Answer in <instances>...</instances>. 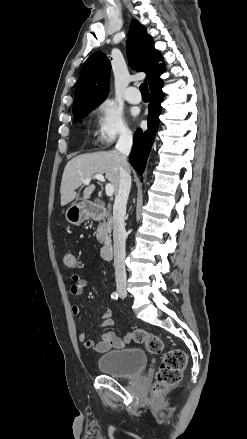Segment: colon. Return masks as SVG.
Returning a JSON list of instances; mask_svg holds the SVG:
<instances>
[{
  "mask_svg": "<svg viewBox=\"0 0 247 439\" xmlns=\"http://www.w3.org/2000/svg\"><path fill=\"white\" fill-rule=\"evenodd\" d=\"M63 261L68 268H77L80 265L76 256L71 253L66 254ZM133 337L137 343L143 344L147 351L152 354H159L163 349L162 339L144 330H136ZM186 365L187 356L183 350L171 349L166 352L160 363L153 391L161 393L176 385L181 380Z\"/></svg>",
  "mask_w": 247,
  "mask_h": 439,
  "instance_id": "1",
  "label": "colon"
}]
</instances>
